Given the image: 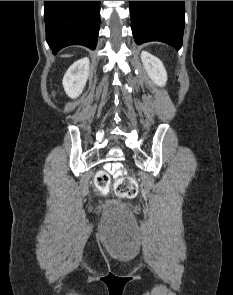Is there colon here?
Returning <instances> with one entry per match:
<instances>
[{
	"mask_svg": "<svg viewBox=\"0 0 233 295\" xmlns=\"http://www.w3.org/2000/svg\"><path fill=\"white\" fill-rule=\"evenodd\" d=\"M94 185L97 190L106 194L109 190L110 176L105 171H99L94 176ZM114 193L120 198H134L138 193V183L133 177H123L114 186Z\"/></svg>",
	"mask_w": 233,
	"mask_h": 295,
	"instance_id": "1",
	"label": "colon"
}]
</instances>
